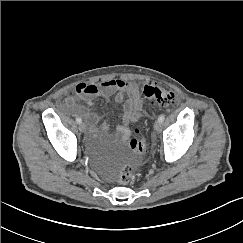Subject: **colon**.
I'll list each match as a JSON object with an SVG mask.
<instances>
[{"label": "colon", "instance_id": "colon-1", "mask_svg": "<svg viewBox=\"0 0 243 243\" xmlns=\"http://www.w3.org/2000/svg\"><path fill=\"white\" fill-rule=\"evenodd\" d=\"M142 94L151 104L162 107H169L176 101L175 94L171 90L161 87L154 82L146 83L142 87ZM134 133L135 136L129 142L130 148L140 157H144L148 151V143L143 135L142 128L139 126L135 127ZM132 178L133 169L126 164L120 170L117 181L120 185L125 186L131 182Z\"/></svg>", "mask_w": 243, "mask_h": 243}]
</instances>
